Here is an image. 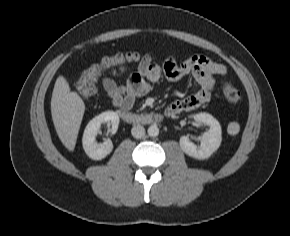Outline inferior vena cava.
<instances>
[{"mask_svg":"<svg viewBox=\"0 0 290 236\" xmlns=\"http://www.w3.org/2000/svg\"><path fill=\"white\" fill-rule=\"evenodd\" d=\"M131 134L134 138H142L145 135V128L142 125H135L131 129Z\"/></svg>","mask_w":290,"mask_h":236,"instance_id":"1","label":"inferior vena cava"}]
</instances>
